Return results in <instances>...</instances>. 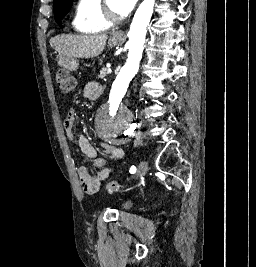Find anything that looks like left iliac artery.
Here are the masks:
<instances>
[{"mask_svg": "<svg viewBox=\"0 0 256 267\" xmlns=\"http://www.w3.org/2000/svg\"><path fill=\"white\" fill-rule=\"evenodd\" d=\"M135 172H136V167L135 166H131L130 173L134 174Z\"/></svg>", "mask_w": 256, "mask_h": 267, "instance_id": "1", "label": "left iliac artery"}]
</instances>
